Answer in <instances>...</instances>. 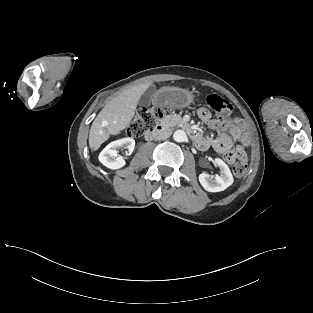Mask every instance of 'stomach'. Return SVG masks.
<instances>
[{
	"mask_svg": "<svg viewBox=\"0 0 313 313\" xmlns=\"http://www.w3.org/2000/svg\"><path fill=\"white\" fill-rule=\"evenodd\" d=\"M194 100V91L178 87H163L154 98V104L161 108L182 109Z\"/></svg>",
	"mask_w": 313,
	"mask_h": 313,
	"instance_id": "0dacf381",
	"label": "stomach"
}]
</instances>
